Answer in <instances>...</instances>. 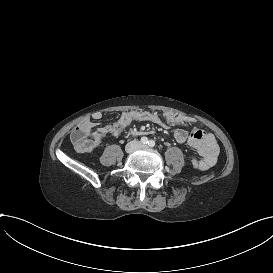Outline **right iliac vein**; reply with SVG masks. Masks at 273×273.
Returning a JSON list of instances; mask_svg holds the SVG:
<instances>
[{"instance_id": "obj_1", "label": "right iliac vein", "mask_w": 273, "mask_h": 273, "mask_svg": "<svg viewBox=\"0 0 273 273\" xmlns=\"http://www.w3.org/2000/svg\"><path fill=\"white\" fill-rule=\"evenodd\" d=\"M139 145L137 143H132L130 146H129V149L130 150H133V149H136Z\"/></svg>"}]
</instances>
